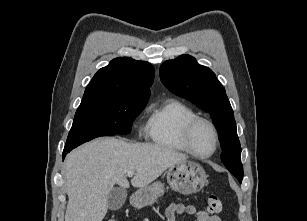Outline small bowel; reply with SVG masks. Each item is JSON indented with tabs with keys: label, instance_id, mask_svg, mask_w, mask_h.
Instances as JSON below:
<instances>
[{
	"label": "small bowel",
	"instance_id": "c3829d8e",
	"mask_svg": "<svg viewBox=\"0 0 307 221\" xmlns=\"http://www.w3.org/2000/svg\"><path fill=\"white\" fill-rule=\"evenodd\" d=\"M194 215L197 221H221V218L215 214H208L205 211L197 210L192 205L170 204L166 209L165 216L167 221H176L178 215Z\"/></svg>",
	"mask_w": 307,
	"mask_h": 221
}]
</instances>
